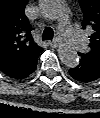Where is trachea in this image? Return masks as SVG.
I'll list each match as a JSON object with an SVG mask.
<instances>
[{
  "instance_id": "3493384b",
  "label": "trachea",
  "mask_w": 100,
  "mask_h": 118,
  "mask_svg": "<svg viewBox=\"0 0 100 118\" xmlns=\"http://www.w3.org/2000/svg\"><path fill=\"white\" fill-rule=\"evenodd\" d=\"M53 34H54L53 29L50 27H47L43 31L42 38L44 40H51L53 38Z\"/></svg>"
}]
</instances>
